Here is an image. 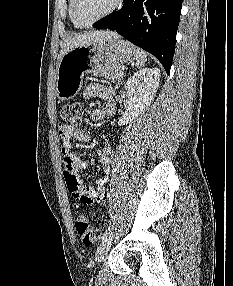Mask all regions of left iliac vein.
<instances>
[{"instance_id": "obj_1", "label": "left iliac vein", "mask_w": 233, "mask_h": 286, "mask_svg": "<svg viewBox=\"0 0 233 286\" xmlns=\"http://www.w3.org/2000/svg\"><path fill=\"white\" fill-rule=\"evenodd\" d=\"M112 242V236L108 235L104 240H102L96 252V262L101 263L104 260Z\"/></svg>"}]
</instances>
